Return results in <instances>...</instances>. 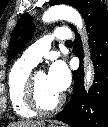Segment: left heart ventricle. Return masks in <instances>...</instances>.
Segmentation results:
<instances>
[{
	"label": "left heart ventricle",
	"instance_id": "left-heart-ventricle-1",
	"mask_svg": "<svg viewBox=\"0 0 108 127\" xmlns=\"http://www.w3.org/2000/svg\"><path fill=\"white\" fill-rule=\"evenodd\" d=\"M36 88L40 102L46 107L51 106L60 96L48 84L47 75L44 72L37 74Z\"/></svg>",
	"mask_w": 108,
	"mask_h": 127
}]
</instances>
